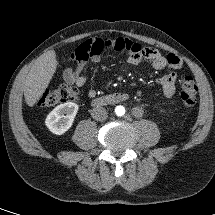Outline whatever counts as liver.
Wrapping results in <instances>:
<instances>
[{
	"instance_id": "6515ba94",
	"label": "liver",
	"mask_w": 215,
	"mask_h": 215,
	"mask_svg": "<svg viewBox=\"0 0 215 215\" xmlns=\"http://www.w3.org/2000/svg\"><path fill=\"white\" fill-rule=\"evenodd\" d=\"M57 68L54 50L43 53L32 65L23 83L24 98L32 107L47 89Z\"/></svg>"
}]
</instances>
